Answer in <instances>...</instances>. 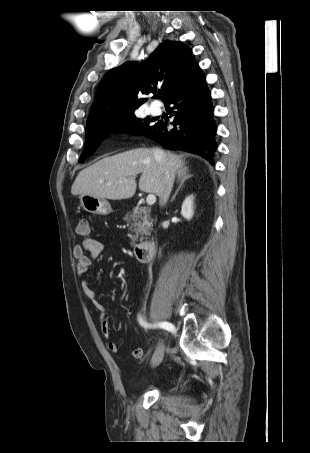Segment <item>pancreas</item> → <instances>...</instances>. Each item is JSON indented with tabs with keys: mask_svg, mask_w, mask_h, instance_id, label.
<instances>
[{
	"mask_svg": "<svg viewBox=\"0 0 310 453\" xmlns=\"http://www.w3.org/2000/svg\"><path fill=\"white\" fill-rule=\"evenodd\" d=\"M123 220L127 222L129 229L135 233V235L130 236L133 242L138 240L139 235H150L152 222L150 211L146 207L135 208L132 212H128Z\"/></svg>",
	"mask_w": 310,
	"mask_h": 453,
	"instance_id": "1",
	"label": "pancreas"
}]
</instances>
